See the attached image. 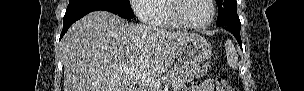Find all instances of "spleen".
I'll return each mask as SVG.
<instances>
[{
  "mask_svg": "<svg viewBox=\"0 0 304 91\" xmlns=\"http://www.w3.org/2000/svg\"><path fill=\"white\" fill-rule=\"evenodd\" d=\"M225 49H226L228 65L234 70L237 69L239 66L238 55L232 41L228 40L226 42Z\"/></svg>",
  "mask_w": 304,
  "mask_h": 91,
  "instance_id": "spleen-1",
  "label": "spleen"
}]
</instances>
